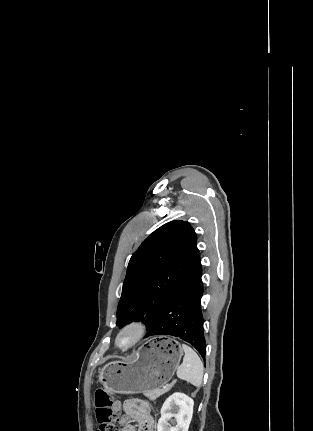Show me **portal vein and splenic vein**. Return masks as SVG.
Instances as JSON below:
<instances>
[{
  "label": "portal vein and splenic vein",
  "mask_w": 313,
  "mask_h": 431,
  "mask_svg": "<svg viewBox=\"0 0 313 431\" xmlns=\"http://www.w3.org/2000/svg\"><path fill=\"white\" fill-rule=\"evenodd\" d=\"M175 382H176V380H173V381H172V384H173V383H175Z\"/></svg>",
  "instance_id": "18ae733b"
}]
</instances>
